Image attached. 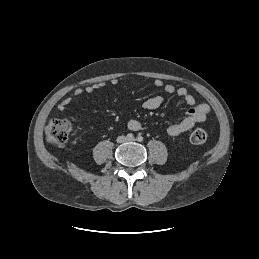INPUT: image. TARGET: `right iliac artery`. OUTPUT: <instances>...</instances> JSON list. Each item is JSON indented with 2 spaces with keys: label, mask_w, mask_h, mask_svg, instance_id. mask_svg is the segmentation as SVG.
Masks as SVG:
<instances>
[{
  "label": "right iliac artery",
  "mask_w": 259,
  "mask_h": 259,
  "mask_svg": "<svg viewBox=\"0 0 259 259\" xmlns=\"http://www.w3.org/2000/svg\"><path fill=\"white\" fill-rule=\"evenodd\" d=\"M127 138H128V139H133V138H134V135H133L132 133H128V134H127Z\"/></svg>",
  "instance_id": "right-iliac-artery-1"
}]
</instances>
